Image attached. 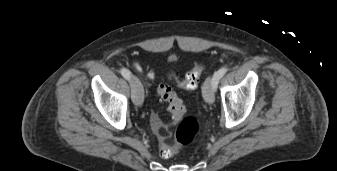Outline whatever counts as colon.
Wrapping results in <instances>:
<instances>
[{
	"label": "colon",
	"instance_id": "5ec220e1",
	"mask_svg": "<svg viewBox=\"0 0 337 171\" xmlns=\"http://www.w3.org/2000/svg\"><path fill=\"white\" fill-rule=\"evenodd\" d=\"M204 70L202 64H196L185 76L180 79L177 72H171L170 78L175 80L178 87L191 90L197 87L200 76ZM158 94L163 101L168 104L173 121L166 122L161 117H156L153 121V130L159 141V151L163 158H170L177 151L189 145L199 132V121L193 116H186V108L178 95L165 83L159 84ZM175 126L174 141L169 137V129Z\"/></svg>",
	"mask_w": 337,
	"mask_h": 171
}]
</instances>
